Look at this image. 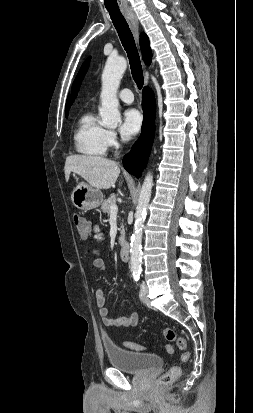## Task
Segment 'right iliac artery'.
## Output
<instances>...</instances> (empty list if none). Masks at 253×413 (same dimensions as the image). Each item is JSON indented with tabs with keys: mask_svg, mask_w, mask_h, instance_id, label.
<instances>
[{
	"mask_svg": "<svg viewBox=\"0 0 253 413\" xmlns=\"http://www.w3.org/2000/svg\"><path fill=\"white\" fill-rule=\"evenodd\" d=\"M139 276H140L139 273L133 274L134 280H135V281H138V280H139Z\"/></svg>",
	"mask_w": 253,
	"mask_h": 413,
	"instance_id": "right-iliac-artery-1",
	"label": "right iliac artery"
}]
</instances>
